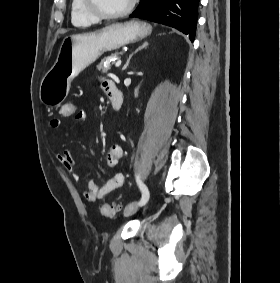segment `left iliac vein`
<instances>
[{"label":"left iliac vein","instance_id":"1","mask_svg":"<svg viewBox=\"0 0 280 283\" xmlns=\"http://www.w3.org/2000/svg\"><path fill=\"white\" fill-rule=\"evenodd\" d=\"M138 208L139 204L136 201L132 202L124 208L123 214L125 217L131 216L138 210Z\"/></svg>","mask_w":280,"mask_h":283}]
</instances>
